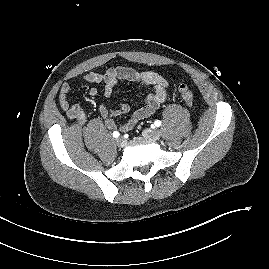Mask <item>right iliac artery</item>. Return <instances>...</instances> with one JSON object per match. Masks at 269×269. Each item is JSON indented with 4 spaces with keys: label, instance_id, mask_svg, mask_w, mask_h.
<instances>
[{
    "label": "right iliac artery",
    "instance_id": "1",
    "mask_svg": "<svg viewBox=\"0 0 269 269\" xmlns=\"http://www.w3.org/2000/svg\"><path fill=\"white\" fill-rule=\"evenodd\" d=\"M119 135H120V134H119L118 131H114V132H113V137L117 138V137H119Z\"/></svg>",
    "mask_w": 269,
    "mask_h": 269
}]
</instances>
